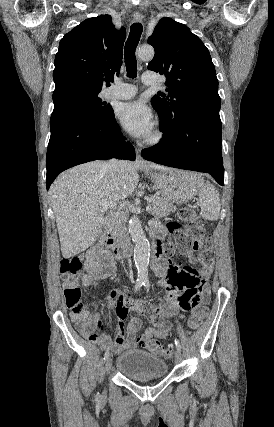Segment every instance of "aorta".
I'll return each mask as SVG.
<instances>
[{"instance_id": "obj_1", "label": "aorta", "mask_w": 274, "mask_h": 427, "mask_svg": "<svg viewBox=\"0 0 274 427\" xmlns=\"http://www.w3.org/2000/svg\"><path fill=\"white\" fill-rule=\"evenodd\" d=\"M154 56V49L151 46H143L138 50V57L142 60L150 61ZM129 233L134 247V261L138 270V278L141 281L147 280L148 264L150 257V244L143 231L139 218L134 215L129 221Z\"/></svg>"}]
</instances>
